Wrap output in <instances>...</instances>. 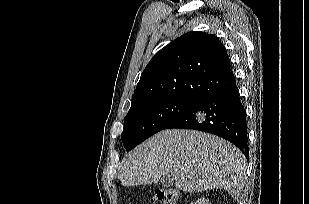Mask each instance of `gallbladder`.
Segmentation results:
<instances>
[{
    "instance_id": "obj_1",
    "label": "gallbladder",
    "mask_w": 309,
    "mask_h": 204,
    "mask_svg": "<svg viewBox=\"0 0 309 204\" xmlns=\"http://www.w3.org/2000/svg\"><path fill=\"white\" fill-rule=\"evenodd\" d=\"M161 182L163 185L169 187L173 185V178L170 175H165L163 176V178L161 179Z\"/></svg>"
}]
</instances>
